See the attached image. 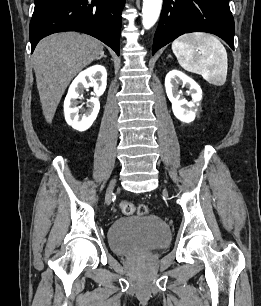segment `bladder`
Instances as JSON below:
<instances>
[{
  "mask_svg": "<svg viewBox=\"0 0 261 306\" xmlns=\"http://www.w3.org/2000/svg\"><path fill=\"white\" fill-rule=\"evenodd\" d=\"M171 240L168 225L155 215H132L116 219L108 229V243L118 255L166 247Z\"/></svg>",
  "mask_w": 261,
  "mask_h": 306,
  "instance_id": "obj_1",
  "label": "bladder"
}]
</instances>
